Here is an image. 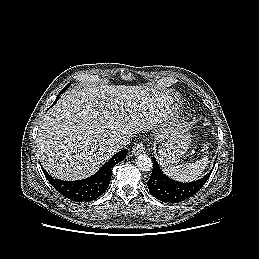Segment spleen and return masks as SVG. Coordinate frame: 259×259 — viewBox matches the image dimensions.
Here are the masks:
<instances>
[{"mask_svg": "<svg viewBox=\"0 0 259 259\" xmlns=\"http://www.w3.org/2000/svg\"><path fill=\"white\" fill-rule=\"evenodd\" d=\"M208 156L194 163H187L178 166H168L164 173L177 181L189 182L198 179L208 164Z\"/></svg>", "mask_w": 259, "mask_h": 259, "instance_id": "spleen-1", "label": "spleen"}]
</instances>
